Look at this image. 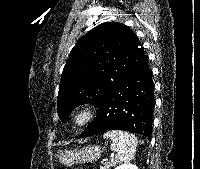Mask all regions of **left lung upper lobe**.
Returning a JSON list of instances; mask_svg holds the SVG:
<instances>
[{
    "instance_id": "obj_1",
    "label": "left lung upper lobe",
    "mask_w": 200,
    "mask_h": 169,
    "mask_svg": "<svg viewBox=\"0 0 200 169\" xmlns=\"http://www.w3.org/2000/svg\"><path fill=\"white\" fill-rule=\"evenodd\" d=\"M145 57L138 37L124 24L102 23L81 37L64 66L57 112L66 118L79 104L98 106Z\"/></svg>"
}]
</instances>
